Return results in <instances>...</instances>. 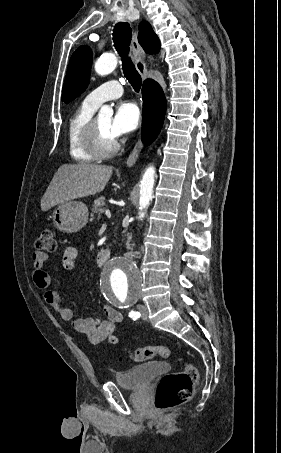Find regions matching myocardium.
<instances>
[{
	"mask_svg": "<svg viewBox=\"0 0 281 453\" xmlns=\"http://www.w3.org/2000/svg\"><path fill=\"white\" fill-rule=\"evenodd\" d=\"M85 143L89 152L100 158H109L118 153L121 143L114 138L110 144H106L98 124V118H93L90 122L86 135Z\"/></svg>",
	"mask_w": 281,
	"mask_h": 453,
	"instance_id": "obj_1",
	"label": "myocardium"
}]
</instances>
